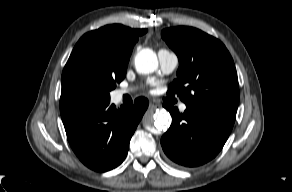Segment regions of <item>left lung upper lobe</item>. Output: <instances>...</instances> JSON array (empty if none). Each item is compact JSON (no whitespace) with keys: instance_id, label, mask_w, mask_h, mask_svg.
Masks as SVG:
<instances>
[{"instance_id":"5c2ea615","label":"left lung upper lobe","mask_w":292,"mask_h":192,"mask_svg":"<svg viewBox=\"0 0 292 192\" xmlns=\"http://www.w3.org/2000/svg\"><path fill=\"white\" fill-rule=\"evenodd\" d=\"M162 38L179 58L177 79L168 94H177L187 107L236 113L239 85L233 59L218 39L192 27H172Z\"/></svg>"}]
</instances>
